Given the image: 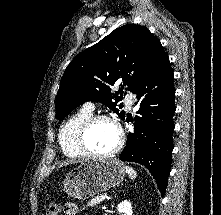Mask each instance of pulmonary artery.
<instances>
[{
  "mask_svg": "<svg viewBox=\"0 0 221 215\" xmlns=\"http://www.w3.org/2000/svg\"><path fill=\"white\" fill-rule=\"evenodd\" d=\"M126 103H127V105H128L129 108L132 106V98H131L130 95H127V96H126ZM84 108L87 109V110H89V111H93V110H94V105H93L92 103H89V102H88V103H86V104L84 105Z\"/></svg>",
  "mask_w": 221,
  "mask_h": 215,
  "instance_id": "obj_1",
  "label": "pulmonary artery"
}]
</instances>
